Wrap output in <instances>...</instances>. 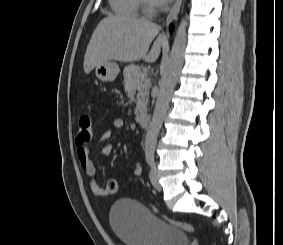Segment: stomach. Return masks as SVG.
I'll use <instances>...</instances> for the list:
<instances>
[{
    "label": "stomach",
    "mask_w": 283,
    "mask_h": 245,
    "mask_svg": "<svg viewBox=\"0 0 283 245\" xmlns=\"http://www.w3.org/2000/svg\"><path fill=\"white\" fill-rule=\"evenodd\" d=\"M119 72V66L112 61H106L95 67V73L97 78L103 82L114 81Z\"/></svg>",
    "instance_id": "stomach-1"
}]
</instances>
